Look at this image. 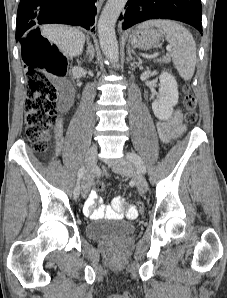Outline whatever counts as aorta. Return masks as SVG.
<instances>
[{
  "instance_id": "762f6f07",
  "label": "aorta",
  "mask_w": 227,
  "mask_h": 298,
  "mask_svg": "<svg viewBox=\"0 0 227 298\" xmlns=\"http://www.w3.org/2000/svg\"><path fill=\"white\" fill-rule=\"evenodd\" d=\"M126 2L127 0H107L98 21V36L102 52L114 65L119 61L115 24Z\"/></svg>"
}]
</instances>
